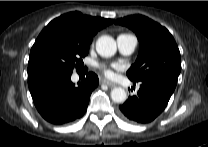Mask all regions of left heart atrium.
Masks as SVG:
<instances>
[{
	"instance_id": "obj_1",
	"label": "left heart atrium",
	"mask_w": 208,
	"mask_h": 147,
	"mask_svg": "<svg viewBox=\"0 0 208 147\" xmlns=\"http://www.w3.org/2000/svg\"><path fill=\"white\" fill-rule=\"evenodd\" d=\"M120 66L118 64L111 65H101L100 69L104 72V74L108 77H112L114 75V71L118 70Z\"/></svg>"
}]
</instances>
